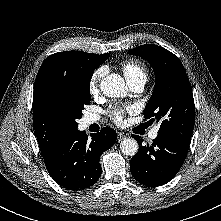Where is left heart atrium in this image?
<instances>
[{"mask_svg": "<svg viewBox=\"0 0 221 221\" xmlns=\"http://www.w3.org/2000/svg\"><path fill=\"white\" fill-rule=\"evenodd\" d=\"M134 111V107L131 105H126V106H111L107 110V114L109 117L116 123H122L123 122V117L125 113H132Z\"/></svg>", "mask_w": 221, "mask_h": 221, "instance_id": "left-heart-atrium-1", "label": "left heart atrium"}]
</instances>
